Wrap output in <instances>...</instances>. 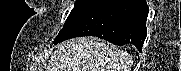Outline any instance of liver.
Listing matches in <instances>:
<instances>
[{"mask_svg":"<svg viewBox=\"0 0 181 71\" xmlns=\"http://www.w3.org/2000/svg\"><path fill=\"white\" fill-rule=\"evenodd\" d=\"M131 56L96 38L82 37L62 43L52 54L47 71H130Z\"/></svg>","mask_w":181,"mask_h":71,"instance_id":"6515ba94","label":"liver"}]
</instances>
